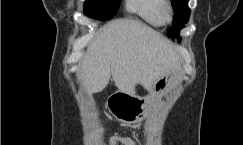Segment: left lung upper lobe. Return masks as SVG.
<instances>
[{
	"label": "left lung upper lobe",
	"instance_id": "left-lung-upper-lobe-1",
	"mask_svg": "<svg viewBox=\"0 0 243 145\" xmlns=\"http://www.w3.org/2000/svg\"><path fill=\"white\" fill-rule=\"evenodd\" d=\"M189 0H172V6L174 10L173 28L169 32V36L177 38L179 30L183 28L182 24L187 23L190 16V9L188 8Z\"/></svg>",
	"mask_w": 243,
	"mask_h": 145
}]
</instances>
